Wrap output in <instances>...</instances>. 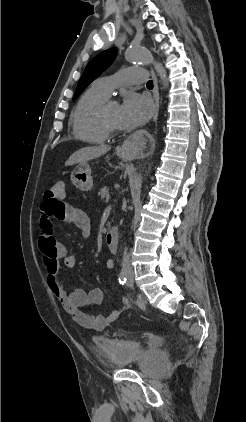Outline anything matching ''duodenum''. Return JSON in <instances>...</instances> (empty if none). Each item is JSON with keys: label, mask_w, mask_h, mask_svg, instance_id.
<instances>
[{"label": "duodenum", "mask_w": 246, "mask_h": 422, "mask_svg": "<svg viewBox=\"0 0 246 422\" xmlns=\"http://www.w3.org/2000/svg\"><path fill=\"white\" fill-rule=\"evenodd\" d=\"M118 237L119 233L118 230L115 228H111L110 230H108L105 236L106 244L109 250L113 253H117L118 251Z\"/></svg>", "instance_id": "obj_1"}]
</instances>
